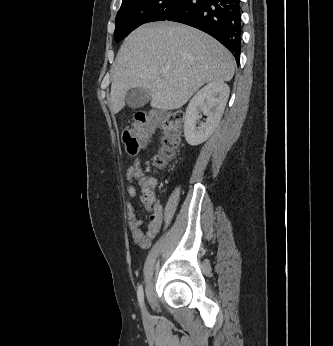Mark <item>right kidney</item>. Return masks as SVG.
I'll return each instance as SVG.
<instances>
[{"label":"right kidney","mask_w":333,"mask_h":346,"mask_svg":"<svg viewBox=\"0 0 333 346\" xmlns=\"http://www.w3.org/2000/svg\"><path fill=\"white\" fill-rule=\"evenodd\" d=\"M229 92L226 83L214 81L193 96L184 117V136L189 145H199L210 137L221 120ZM201 113L206 116L205 123H200Z\"/></svg>","instance_id":"1"}]
</instances>
